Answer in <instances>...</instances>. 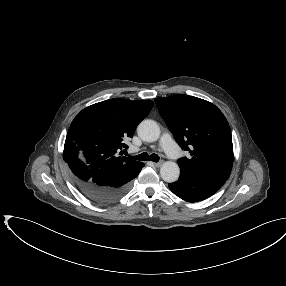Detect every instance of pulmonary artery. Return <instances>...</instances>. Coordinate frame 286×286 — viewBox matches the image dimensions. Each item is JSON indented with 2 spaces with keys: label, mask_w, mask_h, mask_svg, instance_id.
Returning <instances> with one entry per match:
<instances>
[{
  "label": "pulmonary artery",
  "mask_w": 286,
  "mask_h": 286,
  "mask_svg": "<svg viewBox=\"0 0 286 286\" xmlns=\"http://www.w3.org/2000/svg\"><path fill=\"white\" fill-rule=\"evenodd\" d=\"M160 145L170 158L177 159L179 157L180 150L169 134L162 135Z\"/></svg>",
  "instance_id": "e3ab8cb5"
}]
</instances>
